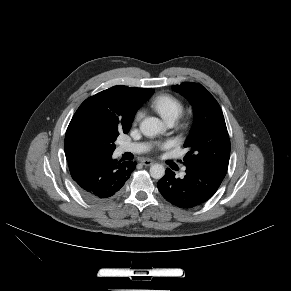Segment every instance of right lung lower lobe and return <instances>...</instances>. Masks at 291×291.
Returning a JSON list of instances; mask_svg holds the SVG:
<instances>
[{"mask_svg": "<svg viewBox=\"0 0 291 291\" xmlns=\"http://www.w3.org/2000/svg\"><path fill=\"white\" fill-rule=\"evenodd\" d=\"M136 164L114 160L112 153H86L68 161L79 192L92 201L116 195L129 179Z\"/></svg>", "mask_w": 291, "mask_h": 291, "instance_id": "1", "label": "right lung lower lobe"}]
</instances>
